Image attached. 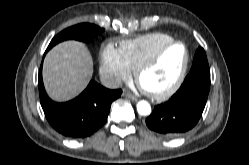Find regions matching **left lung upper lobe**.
<instances>
[{
  "label": "left lung upper lobe",
  "instance_id": "left-lung-upper-lobe-1",
  "mask_svg": "<svg viewBox=\"0 0 249 165\" xmlns=\"http://www.w3.org/2000/svg\"><path fill=\"white\" fill-rule=\"evenodd\" d=\"M203 71L210 73L207 57L203 48H198L195 53L192 68L190 72Z\"/></svg>",
  "mask_w": 249,
  "mask_h": 165
}]
</instances>
